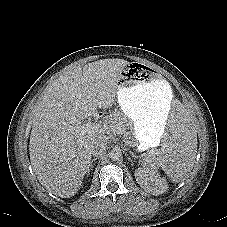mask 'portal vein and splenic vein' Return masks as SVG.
I'll return each mask as SVG.
<instances>
[{"instance_id": "18ae733b", "label": "portal vein and splenic vein", "mask_w": 227, "mask_h": 227, "mask_svg": "<svg viewBox=\"0 0 227 227\" xmlns=\"http://www.w3.org/2000/svg\"><path fill=\"white\" fill-rule=\"evenodd\" d=\"M69 130L71 132H74L76 135H84L87 133H100L104 134L105 129L101 124L98 123H92L91 121H88L85 124H76L75 126H70Z\"/></svg>"}]
</instances>
